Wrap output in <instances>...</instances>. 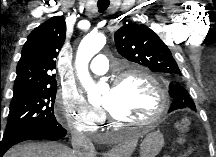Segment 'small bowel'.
Here are the masks:
<instances>
[{
    "label": "small bowel",
    "mask_w": 216,
    "mask_h": 157,
    "mask_svg": "<svg viewBox=\"0 0 216 157\" xmlns=\"http://www.w3.org/2000/svg\"><path fill=\"white\" fill-rule=\"evenodd\" d=\"M192 153V148H188L183 154L182 157H187Z\"/></svg>",
    "instance_id": "small-bowel-1"
}]
</instances>
